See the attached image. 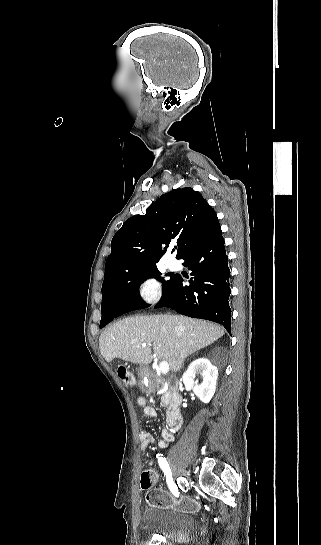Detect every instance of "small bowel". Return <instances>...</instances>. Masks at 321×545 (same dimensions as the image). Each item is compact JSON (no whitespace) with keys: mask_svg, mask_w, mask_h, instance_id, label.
Instances as JSON below:
<instances>
[{"mask_svg":"<svg viewBox=\"0 0 321 545\" xmlns=\"http://www.w3.org/2000/svg\"><path fill=\"white\" fill-rule=\"evenodd\" d=\"M136 404L143 408V412L148 417H155L157 415V412L155 408L150 406L148 404L147 398L145 396H138L136 399ZM140 439V449L142 451H145L148 446H150L153 443H156L155 436L148 431H141L139 434ZM173 440V434L168 430H163L162 432V439L158 441V445L160 448H165L169 442ZM154 462L151 460L148 463V471L151 474V477L153 479V482L155 483L158 480L159 474L157 470L152 468Z\"/></svg>","mask_w":321,"mask_h":545,"instance_id":"1","label":"small bowel"}]
</instances>
